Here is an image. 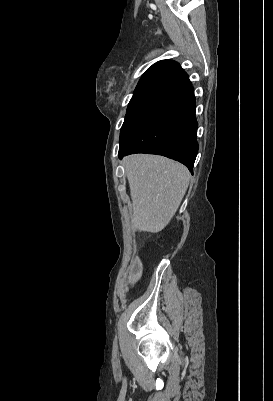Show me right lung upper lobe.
Wrapping results in <instances>:
<instances>
[{
	"mask_svg": "<svg viewBox=\"0 0 273 401\" xmlns=\"http://www.w3.org/2000/svg\"><path fill=\"white\" fill-rule=\"evenodd\" d=\"M190 85L188 75L178 63L161 60L143 74L133 96L153 94L172 97Z\"/></svg>",
	"mask_w": 273,
	"mask_h": 401,
	"instance_id": "cb5924a9",
	"label": "right lung upper lobe"
}]
</instances>
